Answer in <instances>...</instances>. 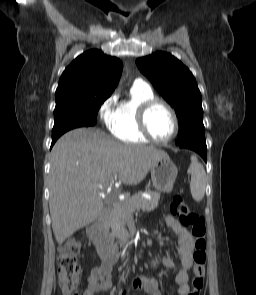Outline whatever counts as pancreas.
Instances as JSON below:
<instances>
[{
    "label": "pancreas",
    "mask_w": 256,
    "mask_h": 295,
    "mask_svg": "<svg viewBox=\"0 0 256 295\" xmlns=\"http://www.w3.org/2000/svg\"><path fill=\"white\" fill-rule=\"evenodd\" d=\"M147 194L151 196V199H146L141 194H137L115 203L105 222V231L110 240L117 239L119 242H124L128 237L125 225L132 220L133 213L136 210L150 212L158 206L160 193L148 190Z\"/></svg>",
    "instance_id": "obj_1"
}]
</instances>
